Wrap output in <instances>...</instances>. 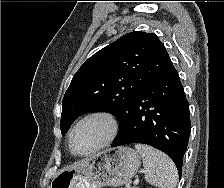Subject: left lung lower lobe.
<instances>
[{"instance_id": "0a47b994", "label": "left lung lower lobe", "mask_w": 224, "mask_h": 188, "mask_svg": "<svg viewBox=\"0 0 224 188\" xmlns=\"http://www.w3.org/2000/svg\"><path fill=\"white\" fill-rule=\"evenodd\" d=\"M190 130L188 102L172 65L142 89L133 102L128 123L112 147L130 143L151 145L172 158L181 176Z\"/></svg>"}]
</instances>
